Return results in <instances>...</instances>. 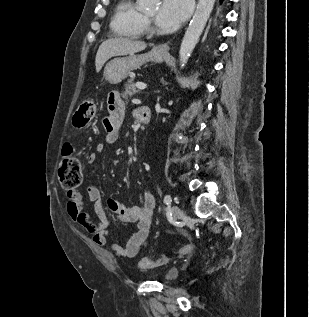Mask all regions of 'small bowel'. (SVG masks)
<instances>
[{
	"mask_svg": "<svg viewBox=\"0 0 309 317\" xmlns=\"http://www.w3.org/2000/svg\"><path fill=\"white\" fill-rule=\"evenodd\" d=\"M108 116L103 119L105 130L104 142L98 143L95 150L87 158L89 164L98 160L99 155L108 145H114L119 140V129L124 119L125 104L117 92H111L108 96ZM137 118L138 109L134 111ZM67 213L78 226L83 228L100 247H106L109 239L108 227L110 224L109 217L101 203L100 189L91 184L87 187L85 198L89 202L97 204L96 213L97 221L91 220L89 214L84 210L83 195L76 191H68ZM155 207V198L151 192L143 193V203L141 206H129L120 200L112 198L107 202V208L116 216V220L121 223L136 224L135 232L130 236L126 244L111 243L109 249L117 256L133 257L137 254L141 244L144 242L149 233L152 220V213Z\"/></svg>",
	"mask_w": 309,
	"mask_h": 317,
	"instance_id": "1",
	"label": "small bowel"
}]
</instances>
